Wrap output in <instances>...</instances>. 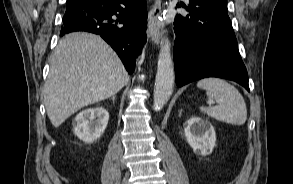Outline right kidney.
<instances>
[{
    "instance_id": "ca27d5eb",
    "label": "right kidney",
    "mask_w": 293,
    "mask_h": 184,
    "mask_svg": "<svg viewBox=\"0 0 293 184\" xmlns=\"http://www.w3.org/2000/svg\"><path fill=\"white\" fill-rule=\"evenodd\" d=\"M108 120L109 113L103 107L86 109L72 121L73 132L80 140L91 144L103 135Z\"/></svg>"
}]
</instances>
